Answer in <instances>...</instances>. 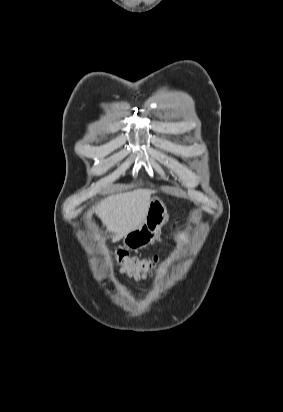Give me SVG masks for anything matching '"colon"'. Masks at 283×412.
Masks as SVG:
<instances>
[{
  "label": "colon",
  "mask_w": 283,
  "mask_h": 412,
  "mask_svg": "<svg viewBox=\"0 0 283 412\" xmlns=\"http://www.w3.org/2000/svg\"><path fill=\"white\" fill-rule=\"evenodd\" d=\"M113 256L115 263L122 273L137 279L150 276L158 262V257H154L153 259H139L129 256L123 250H115Z\"/></svg>",
  "instance_id": "1"
}]
</instances>
